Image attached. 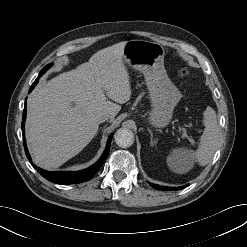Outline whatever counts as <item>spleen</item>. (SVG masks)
Wrapping results in <instances>:
<instances>
[{
	"instance_id": "obj_1",
	"label": "spleen",
	"mask_w": 247,
	"mask_h": 247,
	"mask_svg": "<svg viewBox=\"0 0 247 247\" xmlns=\"http://www.w3.org/2000/svg\"><path fill=\"white\" fill-rule=\"evenodd\" d=\"M204 125L205 129L200 138V146L194 153L196 162L201 166H205L210 162L219 143L216 113L211 107H207L204 111ZM173 157L179 158L181 154L178 151H173Z\"/></svg>"
}]
</instances>
